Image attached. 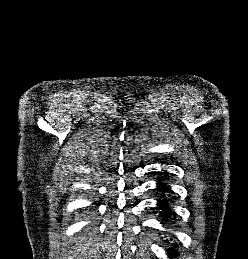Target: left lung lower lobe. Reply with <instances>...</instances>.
<instances>
[{
    "instance_id": "obj_1",
    "label": "left lung lower lobe",
    "mask_w": 248,
    "mask_h": 259,
    "mask_svg": "<svg viewBox=\"0 0 248 259\" xmlns=\"http://www.w3.org/2000/svg\"><path fill=\"white\" fill-rule=\"evenodd\" d=\"M158 189L163 190V191H169V189H167V186L165 184H163L162 182L158 183ZM158 207L162 210L161 213H162L163 216L167 217L171 214L169 206H168V204L165 200L159 201ZM171 254L173 256L174 252H171Z\"/></svg>"
}]
</instances>
